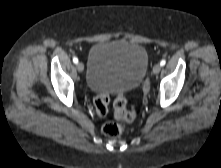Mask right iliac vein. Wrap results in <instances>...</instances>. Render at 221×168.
Here are the masks:
<instances>
[{
    "label": "right iliac vein",
    "instance_id": "obj_1",
    "mask_svg": "<svg viewBox=\"0 0 221 168\" xmlns=\"http://www.w3.org/2000/svg\"><path fill=\"white\" fill-rule=\"evenodd\" d=\"M77 70L79 72H83L84 71V64L82 62L77 63Z\"/></svg>",
    "mask_w": 221,
    "mask_h": 168
}]
</instances>
